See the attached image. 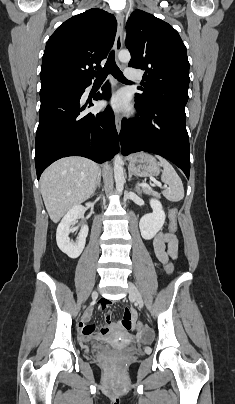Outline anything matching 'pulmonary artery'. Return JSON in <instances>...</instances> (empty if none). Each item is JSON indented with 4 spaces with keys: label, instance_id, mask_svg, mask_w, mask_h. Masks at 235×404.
<instances>
[{
    "label": "pulmonary artery",
    "instance_id": "pulmonary-artery-1",
    "mask_svg": "<svg viewBox=\"0 0 235 404\" xmlns=\"http://www.w3.org/2000/svg\"><path fill=\"white\" fill-rule=\"evenodd\" d=\"M125 75L129 79L136 80L140 77L139 72L136 69L128 68L125 70Z\"/></svg>",
    "mask_w": 235,
    "mask_h": 404
}]
</instances>
